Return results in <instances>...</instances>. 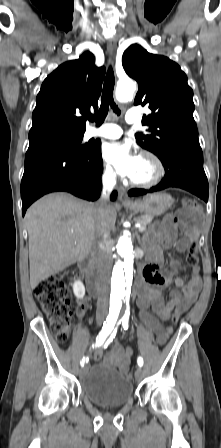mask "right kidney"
I'll use <instances>...</instances> for the list:
<instances>
[{
    "label": "right kidney",
    "instance_id": "ca27d5eb",
    "mask_svg": "<svg viewBox=\"0 0 221 448\" xmlns=\"http://www.w3.org/2000/svg\"><path fill=\"white\" fill-rule=\"evenodd\" d=\"M73 292L78 299H82L85 295V287L83 283L78 280L73 284Z\"/></svg>",
    "mask_w": 221,
    "mask_h": 448
}]
</instances>
